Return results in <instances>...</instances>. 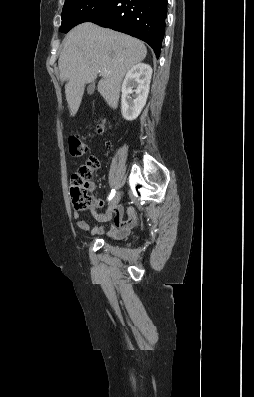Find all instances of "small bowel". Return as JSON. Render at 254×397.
Segmentation results:
<instances>
[{"instance_id": "obj_1", "label": "small bowel", "mask_w": 254, "mask_h": 397, "mask_svg": "<svg viewBox=\"0 0 254 397\" xmlns=\"http://www.w3.org/2000/svg\"><path fill=\"white\" fill-rule=\"evenodd\" d=\"M89 189L93 190L94 186L90 185ZM99 205L103 206V201H100ZM92 214L98 222L104 223L111 221L112 215L114 214L112 222L93 227L91 230L92 235L106 234L108 237L120 239L125 237L128 232L137 224V216L135 214L134 208L132 207L127 210L128 217L126 219L124 218V209L121 206H115L113 209H109L108 207L105 213H99L95 208H93ZM73 217L77 220L76 223L79 229L82 231L89 230V224L86 221L79 219L80 215L78 211L73 212Z\"/></svg>"}]
</instances>
